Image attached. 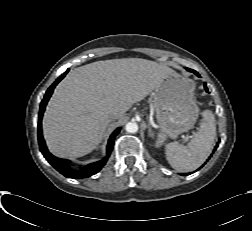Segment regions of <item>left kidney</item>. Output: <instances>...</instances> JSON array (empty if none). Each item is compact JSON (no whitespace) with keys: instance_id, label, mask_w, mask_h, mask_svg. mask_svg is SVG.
Wrapping results in <instances>:
<instances>
[{"instance_id":"obj_1","label":"left kidney","mask_w":252,"mask_h":231,"mask_svg":"<svg viewBox=\"0 0 252 231\" xmlns=\"http://www.w3.org/2000/svg\"><path fill=\"white\" fill-rule=\"evenodd\" d=\"M156 146L158 147V146H159V143H157Z\"/></svg>"}]
</instances>
